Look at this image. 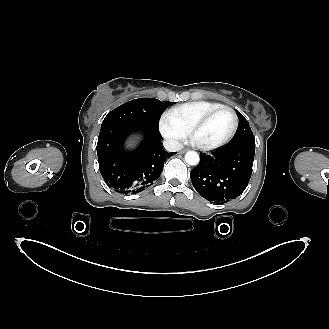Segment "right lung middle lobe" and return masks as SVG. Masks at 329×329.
Masks as SVG:
<instances>
[{
    "label": "right lung middle lobe",
    "instance_id": "right-lung-middle-lobe-1",
    "mask_svg": "<svg viewBox=\"0 0 329 329\" xmlns=\"http://www.w3.org/2000/svg\"><path fill=\"white\" fill-rule=\"evenodd\" d=\"M174 103L162 102L154 98L134 99L108 113L102 126L118 123L158 129L162 112Z\"/></svg>",
    "mask_w": 329,
    "mask_h": 329
}]
</instances>
